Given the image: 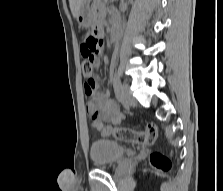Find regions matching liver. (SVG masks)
I'll return each instance as SVG.
<instances>
[{
  "instance_id": "liver-1",
  "label": "liver",
  "mask_w": 223,
  "mask_h": 191,
  "mask_svg": "<svg viewBox=\"0 0 223 191\" xmlns=\"http://www.w3.org/2000/svg\"><path fill=\"white\" fill-rule=\"evenodd\" d=\"M84 2L85 0H69L71 12L75 18H77L81 8L84 5Z\"/></svg>"
}]
</instances>
